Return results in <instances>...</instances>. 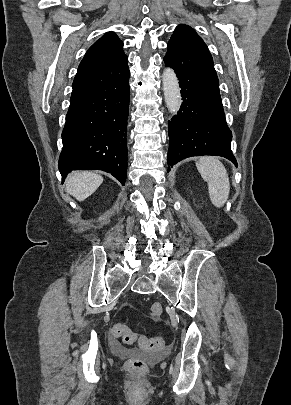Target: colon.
<instances>
[{"label": "colon", "mask_w": 291, "mask_h": 405, "mask_svg": "<svg viewBox=\"0 0 291 405\" xmlns=\"http://www.w3.org/2000/svg\"><path fill=\"white\" fill-rule=\"evenodd\" d=\"M163 312L161 304L155 303L151 306V315L154 318L159 317ZM111 336L113 339H121L124 343L132 344L138 342L139 346L145 351H156L164 348L165 339L162 337H144L137 336L129 327L123 323L115 324L111 329ZM126 366L132 371L141 372L147 367L145 359L141 357H130L126 361Z\"/></svg>", "instance_id": "obj_1"}]
</instances>
